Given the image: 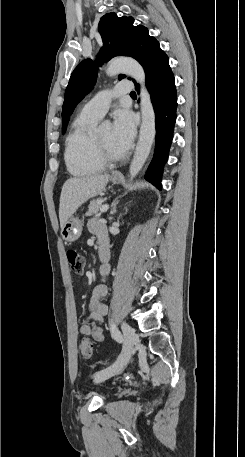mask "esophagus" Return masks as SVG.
Listing matches in <instances>:
<instances>
[{
    "label": "esophagus",
    "mask_w": 245,
    "mask_h": 457,
    "mask_svg": "<svg viewBox=\"0 0 245 457\" xmlns=\"http://www.w3.org/2000/svg\"><path fill=\"white\" fill-rule=\"evenodd\" d=\"M112 176H113V177H123V175H122L121 172H113V173H112Z\"/></svg>",
    "instance_id": "obj_1"
}]
</instances>
